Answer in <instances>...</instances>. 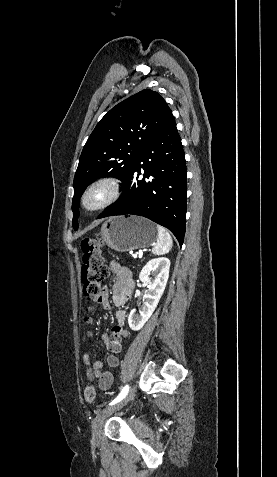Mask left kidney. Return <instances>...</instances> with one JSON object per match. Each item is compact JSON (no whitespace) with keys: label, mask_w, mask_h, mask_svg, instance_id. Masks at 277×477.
<instances>
[{"label":"left kidney","mask_w":277,"mask_h":477,"mask_svg":"<svg viewBox=\"0 0 277 477\" xmlns=\"http://www.w3.org/2000/svg\"><path fill=\"white\" fill-rule=\"evenodd\" d=\"M170 260L160 257L150 260L141 270L139 279L147 284L142 306L139 314L132 310L129 314L128 324L134 330H140L156 309L165 290L169 278Z\"/></svg>","instance_id":"5707ae66"}]
</instances>
